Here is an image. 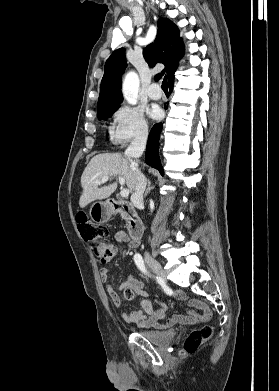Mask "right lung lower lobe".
Returning <instances> with one entry per match:
<instances>
[{
  "label": "right lung lower lobe",
  "mask_w": 279,
  "mask_h": 391,
  "mask_svg": "<svg viewBox=\"0 0 279 391\" xmlns=\"http://www.w3.org/2000/svg\"><path fill=\"white\" fill-rule=\"evenodd\" d=\"M173 86H174V81L169 83L170 92L173 90ZM161 130H162V124L160 123L154 125V127L152 128L148 138L145 161L148 165L158 169L159 172L163 175L164 171L160 164L159 155H158L159 138H160Z\"/></svg>",
  "instance_id": "1"
}]
</instances>
